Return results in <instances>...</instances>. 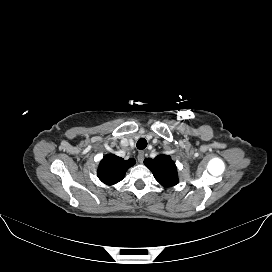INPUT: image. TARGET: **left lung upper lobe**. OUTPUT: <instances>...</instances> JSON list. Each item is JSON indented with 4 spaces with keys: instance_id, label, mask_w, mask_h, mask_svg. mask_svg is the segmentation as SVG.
<instances>
[{
    "instance_id": "obj_1",
    "label": "left lung upper lobe",
    "mask_w": 272,
    "mask_h": 272,
    "mask_svg": "<svg viewBox=\"0 0 272 272\" xmlns=\"http://www.w3.org/2000/svg\"><path fill=\"white\" fill-rule=\"evenodd\" d=\"M144 164L161 185L171 187L178 184L177 168L169 155L161 154L154 159L146 158Z\"/></svg>"
}]
</instances>
